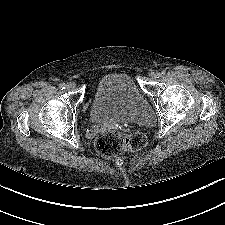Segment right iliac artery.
I'll use <instances>...</instances> for the list:
<instances>
[{"label":"right iliac artery","mask_w":225,"mask_h":225,"mask_svg":"<svg viewBox=\"0 0 225 225\" xmlns=\"http://www.w3.org/2000/svg\"><path fill=\"white\" fill-rule=\"evenodd\" d=\"M59 88H60V89H62V90H63V89H65V88H66L65 83H61V84H59Z\"/></svg>","instance_id":"right-iliac-artery-1"}]
</instances>
